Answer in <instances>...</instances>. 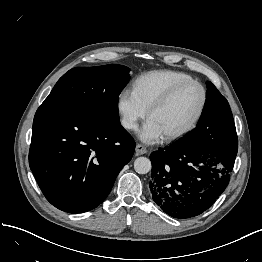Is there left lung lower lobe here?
I'll return each instance as SVG.
<instances>
[{"mask_svg":"<svg viewBox=\"0 0 262 262\" xmlns=\"http://www.w3.org/2000/svg\"><path fill=\"white\" fill-rule=\"evenodd\" d=\"M220 151L176 142L150 155L153 200L174 218L195 217L219 198L228 185L238 150L237 137H223Z\"/></svg>","mask_w":262,"mask_h":262,"instance_id":"0a47b994","label":"left lung lower lobe"}]
</instances>
